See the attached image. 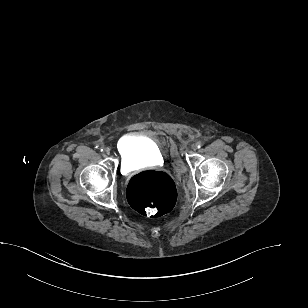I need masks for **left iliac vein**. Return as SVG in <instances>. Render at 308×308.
<instances>
[{"instance_id":"4c4485c4","label":"left iliac vein","mask_w":308,"mask_h":308,"mask_svg":"<svg viewBox=\"0 0 308 308\" xmlns=\"http://www.w3.org/2000/svg\"><path fill=\"white\" fill-rule=\"evenodd\" d=\"M191 148H192L193 150H196V149H197V145H196V144H192V145H191Z\"/></svg>"}]
</instances>
